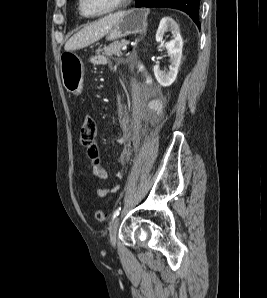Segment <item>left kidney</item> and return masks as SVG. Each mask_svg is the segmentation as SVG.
I'll list each match as a JSON object with an SVG mask.
<instances>
[{"label": "left kidney", "instance_id": "1", "mask_svg": "<svg viewBox=\"0 0 267 298\" xmlns=\"http://www.w3.org/2000/svg\"><path fill=\"white\" fill-rule=\"evenodd\" d=\"M171 31L173 39L165 43V47L170 57V66L167 72L161 71L158 65L154 66V75L157 82L163 87L170 86L176 79L182 58L183 40L177 23L170 17H164L156 32V41L164 43L163 35Z\"/></svg>", "mask_w": 267, "mask_h": 298}]
</instances>
